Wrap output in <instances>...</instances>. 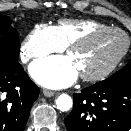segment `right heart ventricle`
Segmentation results:
<instances>
[{
  "label": "right heart ventricle",
  "instance_id": "obj_1",
  "mask_svg": "<svg viewBox=\"0 0 131 131\" xmlns=\"http://www.w3.org/2000/svg\"><path fill=\"white\" fill-rule=\"evenodd\" d=\"M105 27L110 26L93 19H62L53 26L59 41L64 47L90 31Z\"/></svg>",
  "mask_w": 131,
  "mask_h": 131
}]
</instances>
